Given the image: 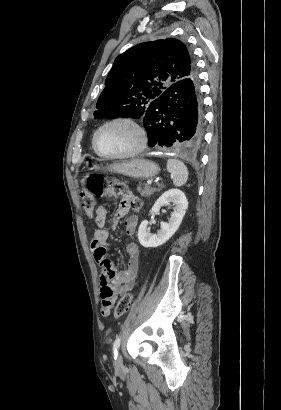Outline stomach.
Here are the masks:
<instances>
[{
  "label": "stomach",
  "instance_id": "1",
  "mask_svg": "<svg viewBox=\"0 0 281 410\" xmlns=\"http://www.w3.org/2000/svg\"><path fill=\"white\" fill-rule=\"evenodd\" d=\"M87 167L98 168L97 165L87 163ZM107 170L129 176L136 179L152 178L159 172V167L152 161L137 158L121 163H115L107 167Z\"/></svg>",
  "mask_w": 281,
  "mask_h": 410
}]
</instances>
